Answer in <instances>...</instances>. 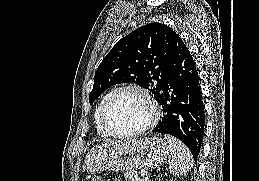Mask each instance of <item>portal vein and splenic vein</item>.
I'll return each mask as SVG.
<instances>
[{
    "label": "portal vein and splenic vein",
    "instance_id": "18ae733b",
    "mask_svg": "<svg viewBox=\"0 0 259 181\" xmlns=\"http://www.w3.org/2000/svg\"><path fill=\"white\" fill-rule=\"evenodd\" d=\"M140 175H141V177L144 178L146 176V172L145 171H141Z\"/></svg>",
    "mask_w": 259,
    "mask_h": 181
}]
</instances>
